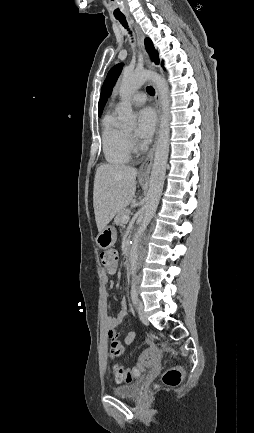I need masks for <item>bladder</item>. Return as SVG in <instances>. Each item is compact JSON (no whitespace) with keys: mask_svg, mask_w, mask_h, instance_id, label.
<instances>
[{"mask_svg":"<svg viewBox=\"0 0 254 433\" xmlns=\"http://www.w3.org/2000/svg\"><path fill=\"white\" fill-rule=\"evenodd\" d=\"M139 382L114 387L112 394L121 398H135L139 392Z\"/></svg>","mask_w":254,"mask_h":433,"instance_id":"obj_1","label":"bladder"}]
</instances>
